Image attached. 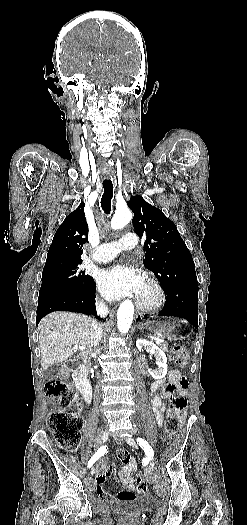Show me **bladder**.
I'll return each instance as SVG.
<instances>
[{
    "mask_svg": "<svg viewBox=\"0 0 247 525\" xmlns=\"http://www.w3.org/2000/svg\"><path fill=\"white\" fill-rule=\"evenodd\" d=\"M157 504V499L153 495H137L129 499H117L113 502L111 511L120 516L143 515Z\"/></svg>",
    "mask_w": 247,
    "mask_h": 525,
    "instance_id": "obj_1",
    "label": "bladder"
}]
</instances>
